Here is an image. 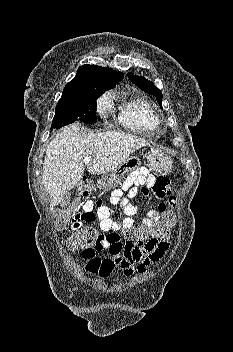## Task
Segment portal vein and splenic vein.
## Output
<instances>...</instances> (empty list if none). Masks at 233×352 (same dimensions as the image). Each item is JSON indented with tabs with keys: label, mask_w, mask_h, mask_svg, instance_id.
<instances>
[{
	"label": "portal vein and splenic vein",
	"mask_w": 233,
	"mask_h": 352,
	"mask_svg": "<svg viewBox=\"0 0 233 352\" xmlns=\"http://www.w3.org/2000/svg\"><path fill=\"white\" fill-rule=\"evenodd\" d=\"M91 160H92L91 157H85L84 158V162L85 163H89Z\"/></svg>",
	"instance_id": "portal-vein-and-splenic-vein-1"
}]
</instances>
